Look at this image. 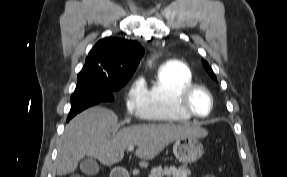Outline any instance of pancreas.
Masks as SVG:
<instances>
[{"label": "pancreas", "mask_w": 287, "mask_h": 177, "mask_svg": "<svg viewBox=\"0 0 287 177\" xmlns=\"http://www.w3.org/2000/svg\"><path fill=\"white\" fill-rule=\"evenodd\" d=\"M188 175L190 171L185 167H158L151 170L149 177H188Z\"/></svg>", "instance_id": "cf45deb5"}]
</instances>
